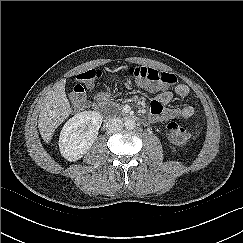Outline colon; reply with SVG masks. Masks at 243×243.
Returning <instances> with one entry per match:
<instances>
[{"label": "colon", "instance_id": "1", "mask_svg": "<svg viewBox=\"0 0 243 243\" xmlns=\"http://www.w3.org/2000/svg\"><path fill=\"white\" fill-rule=\"evenodd\" d=\"M128 72L139 82L155 87H170L178 82L176 75L149 67L133 66L129 68ZM100 76L101 71L99 69H90L76 76V84L70 93V99L77 108L83 109L86 107L84 84H91ZM167 129L170 139L177 144H185L191 138V133L177 122H170Z\"/></svg>", "mask_w": 243, "mask_h": 243}]
</instances>
